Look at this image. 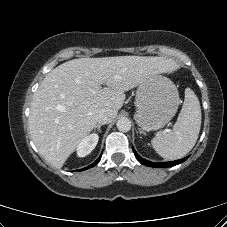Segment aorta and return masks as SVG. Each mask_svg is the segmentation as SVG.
<instances>
[{
  "label": "aorta",
  "mask_w": 227,
  "mask_h": 227,
  "mask_svg": "<svg viewBox=\"0 0 227 227\" xmlns=\"http://www.w3.org/2000/svg\"><path fill=\"white\" fill-rule=\"evenodd\" d=\"M116 125L117 129L121 132H128L131 129V121L126 117L120 118Z\"/></svg>",
  "instance_id": "762f6f07"
}]
</instances>
